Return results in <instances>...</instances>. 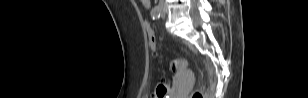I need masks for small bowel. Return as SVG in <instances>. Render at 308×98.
Segmentation results:
<instances>
[{"instance_id":"obj_1","label":"small bowel","mask_w":308,"mask_h":98,"mask_svg":"<svg viewBox=\"0 0 308 98\" xmlns=\"http://www.w3.org/2000/svg\"><path fill=\"white\" fill-rule=\"evenodd\" d=\"M142 4L145 8H149L151 6V2L149 0H142Z\"/></svg>"}]
</instances>
